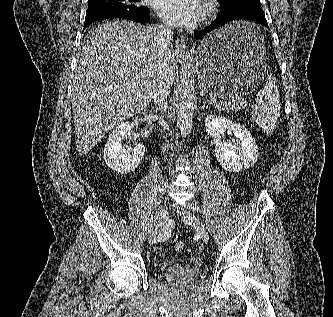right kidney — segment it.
<instances>
[{
  "instance_id": "1",
  "label": "right kidney",
  "mask_w": 333,
  "mask_h": 317,
  "mask_svg": "<svg viewBox=\"0 0 333 317\" xmlns=\"http://www.w3.org/2000/svg\"><path fill=\"white\" fill-rule=\"evenodd\" d=\"M133 126L129 122H122L111 131L104 148V160L112 170L127 174L134 171L145 153L143 144H136L134 148L126 151L123 148V140L132 132Z\"/></svg>"
}]
</instances>
